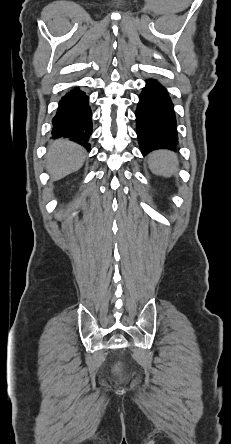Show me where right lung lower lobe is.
<instances>
[{
    "label": "right lung lower lobe",
    "instance_id": "obj_1",
    "mask_svg": "<svg viewBox=\"0 0 231 444\" xmlns=\"http://www.w3.org/2000/svg\"><path fill=\"white\" fill-rule=\"evenodd\" d=\"M53 138L68 137L71 141L90 148L92 133L91 110L88 97L78 88L72 89L60 101L53 120Z\"/></svg>",
    "mask_w": 231,
    "mask_h": 444
}]
</instances>
